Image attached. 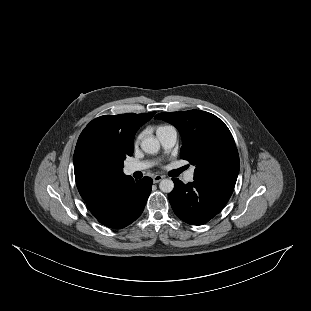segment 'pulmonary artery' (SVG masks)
Instances as JSON below:
<instances>
[{
	"label": "pulmonary artery",
	"mask_w": 311,
	"mask_h": 311,
	"mask_svg": "<svg viewBox=\"0 0 311 311\" xmlns=\"http://www.w3.org/2000/svg\"><path fill=\"white\" fill-rule=\"evenodd\" d=\"M157 136L161 142L162 147L165 150L172 149L177 142V132L174 128H167L165 130L159 131ZM151 166L150 162H133L125 166V171L128 174H133L136 172L144 171ZM194 179V168L190 169L184 175V182L190 183Z\"/></svg>",
	"instance_id": "pulmonary-artery-1"
}]
</instances>
